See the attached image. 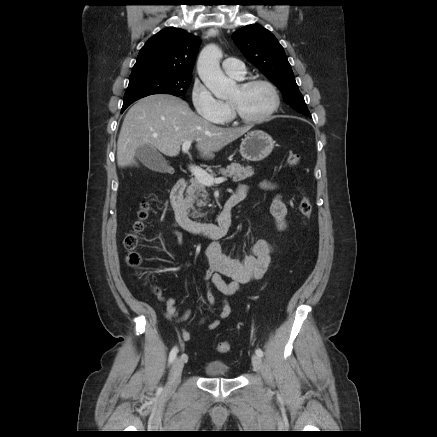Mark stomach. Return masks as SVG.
<instances>
[{
	"label": "stomach",
	"mask_w": 437,
	"mask_h": 437,
	"mask_svg": "<svg viewBox=\"0 0 437 437\" xmlns=\"http://www.w3.org/2000/svg\"><path fill=\"white\" fill-rule=\"evenodd\" d=\"M274 140L264 131L254 130L245 135L240 144V154L248 161H261L274 148Z\"/></svg>",
	"instance_id": "stomach-1"
}]
</instances>
